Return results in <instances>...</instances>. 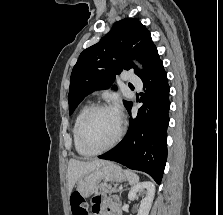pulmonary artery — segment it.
Instances as JSON below:
<instances>
[{"instance_id": "1", "label": "pulmonary artery", "mask_w": 223, "mask_h": 215, "mask_svg": "<svg viewBox=\"0 0 223 215\" xmlns=\"http://www.w3.org/2000/svg\"><path fill=\"white\" fill-rule=\"evenodd\" d=\"M122 74H126V78H131V86L136 87L135 93H138V90H142L144 83L140 82L139 77H137V73H132L131 69H122Z\"/></svg>"}]
</instances>
